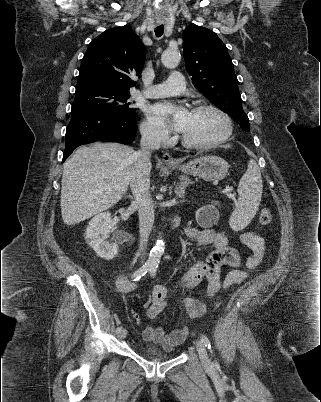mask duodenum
<instances>
[{"mask_svg": "<svg viewBox=\"0 0 321 402\" xmlns=\"http://www.w3.org/2000/svg\"><path fill=\"white\" fill-rule=\"evenodd\" d=\"M180 222V219L178 216L174 215L170 218V222H169V229H173L174 227H176Z\"/></svg>", "mask_w": 321, "mask_h": 402, "instance_id": "duodenum-1", "label": "duodenum"}]
</instances>
